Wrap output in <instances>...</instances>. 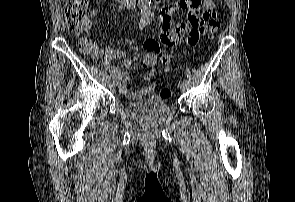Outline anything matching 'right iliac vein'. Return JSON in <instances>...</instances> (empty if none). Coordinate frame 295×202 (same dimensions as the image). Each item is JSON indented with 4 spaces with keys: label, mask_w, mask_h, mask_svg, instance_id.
I'll return each mask as SVG.
<instances>
[{
    "label": "right iliac vein",
    "mask_w": 295,
    "mask_h": 202,
    "mask_svg": "<svg viewBox=\"0 0 295 202\" xmlns=\"http://www.w3.org/2000/svg\"><path fill=\"white\" fill-rule=\"evenodd\" d=\"M115 85H116V83H115L114 80H108V86H109L110 88H114Z\"/></svg>",
    "instance_id": "1"
}]
</instances>
